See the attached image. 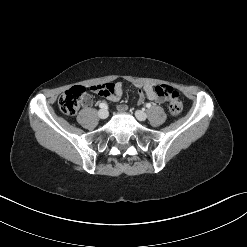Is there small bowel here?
<instances>
[{
  "label": "small bowel",
  "instance_id": "c3829d8e",
  "mask_svg": "<svg viewBox=\"0 0 247 247\" xmlns=\"http://www.w3.org/2000/svg\"><path fill=\"white\" fill-rule=\"evenodd\" d=\"M139 85L142 90H143V93H144V88L147 86V85H150V84H142V83H139V82H135L134 83V86L136 85ZM152 88L155 87V86H152L150 85ZM157 87V86H156ZM97 93V92H96ZM99 95L105 97L106 99H108L109 101H112V102H117L121 99L122 95H123V84L122 82L120 81H117L115 83H109L108 84V88L105 89V91H103L102 93H98ZM144 97H146L145 95H143ZM147 98V97H146ZM149 99V98H147ZM151 100V99H149ZM153 101V100H151ZM156 102V101H155ZM84 104L86 106L90 105L91 104V98L89 96L86 97L85 101H84ZM119 110L121 111H124L126 110V106L125 105H121L119 107Z\"/></svg>",
  "mask_w": 247,
  "mask_h": 247
}]
</instances>
